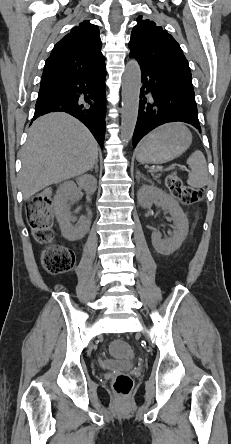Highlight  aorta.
Here are the masks:
<instances>
[{
	"label": "aorta",
	"mask_w": 231,
	"mask_h": 444,
	"mask_svg": "<svg viewBox=\"0 0 231 444\" xmlns=\"http://www.w3.org/2000/svg\"><path fill=\"white\" fill-rule=\"evenodd\" d=\"M141 70L138 62L131 59L125 67L122 82L121 139L128 144L132 139L139 110Z\"/></svg>",
	"instance_id": "1"
}]
</instances>
